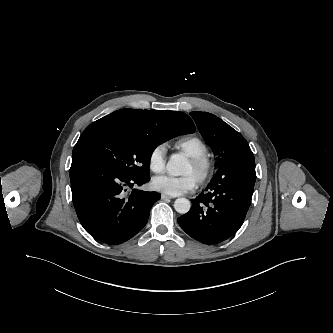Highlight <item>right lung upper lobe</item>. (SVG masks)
Returning a JSON list of instances; mask_svg holds the SVG:
<instances>
[{
  "instance_id": "right-lung-upper-lobe-1",
  "label": "right lung upper lobe",
  "mask_w": 333,
  "mask_h": 333,
  "mask_svg": "<svg viewBox=\"0 0 333 333\" xmlns=\"http://www.w3.org/2000/svg\"><path fill=\"white\" fill-rule=\"evenodd\" d=\"M94 127H123L150 136L170 138L195 130L193 121L185 113L135 109L117 110L88 126Z\"/></svg>"
}]
</instances>
